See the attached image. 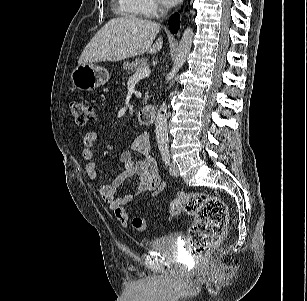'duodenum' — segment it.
Returning <instances> with one entry per match:
<instances>
[{
	"label": "duodenum",
	"instance_id": "obj_1",
	"mask_svg": "<svg viewBox=\"0 0 307 301\" xmlns=\"http://www.w3.org/2000/svg\"><path fill=\"white\" fill-rule=\"evenodd\" d=\"M138 121L144 125H150L155 121L156 108L154 105L142 107L137 114Z\"/></svg>",
	"mask_w": 307,
	"mask_h": 301
}]
</instances>
